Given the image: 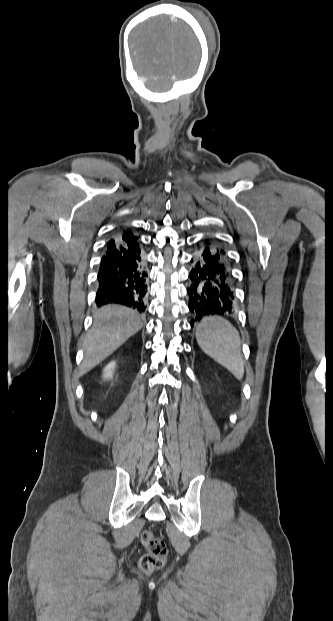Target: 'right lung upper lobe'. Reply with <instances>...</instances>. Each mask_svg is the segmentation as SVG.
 Segmentation results:
<instances>
[{
    "label": "right lung upper lobe",
    "instance_id": "cb5924a9",
    "mask_svg": "<svg viewBox=\"0 0 333 621\" xmlns=\"http://www.w3.org/2000/svg\"><path fill=\"white\" fill-rule=\"evenodd\" d=\"M117 239H120L121 241L133 245V244H139L138 243V237L135 236L130 230L128 229H123L121 231H119L118 233L115 234L114 236Z\"/></svg>",
    "mask_w": 333,
    "mask_h": 621
}]
</instances>
